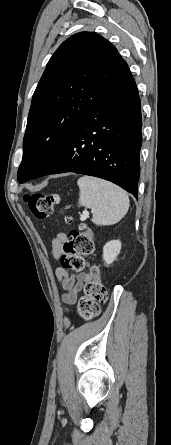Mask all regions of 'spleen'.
<instances>
[{
	"label": "spleen",
	"instance_id": "1",
	"mask_svg": "<svg viewBox=\"0 0 171 445\" xmlns=\"http://www.w3.org/2000/svg\"><path fill=\"white\" fill-rule=\"evenodd\" d=\"M79 205L92 209V221L97 225L119 222L129 209L127 193L105 180L83 176L78 179Z\"/></svg>",
	"mask_w": 171,
	"mask_h": 445
}]
</instances>
